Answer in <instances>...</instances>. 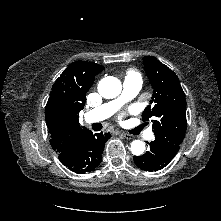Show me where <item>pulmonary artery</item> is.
<instances>
[{"label": "pulmonary artery", "instance_id": "pulmonary-artery-1", "mask_svg": "<svg viewBox=\"0 0 221 221\" xmlns=\"http://www.w3.org/2000/svg\"><path fill=\"white\" fill-rule=\"evenodd\" d=\"M142 78L137 74L127 75L123 82V92L121 96L113 101L105 103L89 111L85 119L87 122H99L110 117L124 102L135 97L142 87ZM146 137L153 138V133L148 132Z\"/></svg>", "mask_w": 221, "mask_h": 221}]
</instances>
